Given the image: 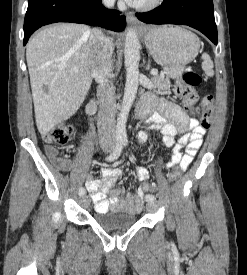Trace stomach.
<instances>
[{
	"instance_id": "stomach-1",
	"label": "stomach",
	"mask_w": 247,
	"mask_h": 275,
	"mask_svg": "<svg viewBox=\"0 0 247 275\" xmlns=\"http://www.w3.org/2000/svg\"><path fill=\"white\" fill-rule=\"evenodd\" d=\"M146 47L164 72L176 78L197 55L200 42L192 32L180 27H145L141 32Z\"/></svg>"
}]
</instances>
